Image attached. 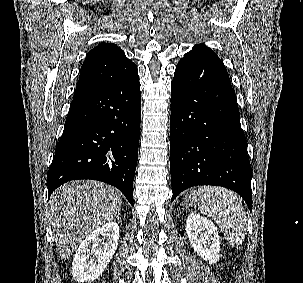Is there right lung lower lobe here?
<instances>
[{
    "label": "right lung lower lobe",
    "mask_w": 303,
    "mask_h": 283,
    "mask_svg": "<svg viewBox=\"0 0 303 283\" xmlns=\"http://www.w3.org/2000/svg\"><path fill=\"white\" fill-rule=\"evenodd\" d=\"M140 120L138 73L74 98L47 174L49 196L65 182L92 179L117 187L133 205Z\"/></svg>",
    "instance_id": "obj_1"
}]
</instances>
